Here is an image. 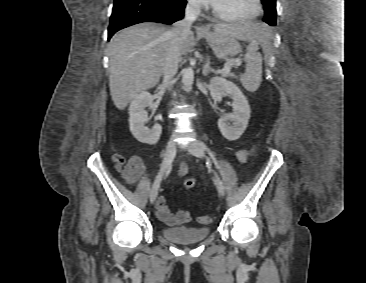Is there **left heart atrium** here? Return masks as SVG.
Here are the masks:
<instances>
[{"label": "left heart atrium", "mask_w": 366, "mask_h": 283, "mask_svg": "<svg viewBox=\"0 0 366 283\" xmlns=\"http://www.w3.org/2000/svg\"><path fill=\"white\" fill-rule=\"evenodd\" d=\"M200 4H215L217 0H196Z\"/></svg>", "instance_id": "obj_1"}]
</instances>
